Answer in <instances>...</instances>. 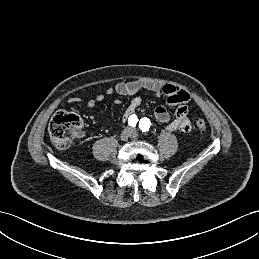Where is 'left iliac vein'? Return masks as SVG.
Instances as JSON below:
<instances>
[{"label":"left iliac vein","mask_w":259,"mask_h":259,"mask_svg":"<svg viewBox=\"0 0 259 259\" xmlns=\"http://www.w3.org/2000/svg\"><path fill=\"white\" fill-rule=\"evenodd\" d=\"M137 136H138V135H137V132H136L135 130H132V131H131V137H132V138H137Z\"/></svg>","instance_id":"left-iliac-vein-1"}]
</instances>
